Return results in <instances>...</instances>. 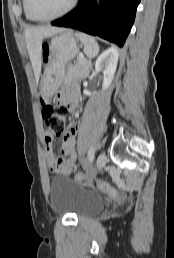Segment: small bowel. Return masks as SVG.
I'll use <instances>...</instances> for the list:
<instances>
[{"label":"small bowel","instance_id":"c3829d8e","mask_svg":"<svg viewBox=\"0 0 174 258\" xmlns=\"http://www.w3.org/2000/svg\"><path fill=\"white\" fill-rule=\"evenodd\" d=\"M77 84H70L65 93L59 97L60 101L69 109V111L77 114L78 113V94ZM78 124H74L70 127L68 133L64 137L62 143V152L68 156H56L52 147V136L49 132H45V154L47 165L53 173L72 174L77 170V153L75 149V136L78 131Z\"/></svg>","mask_w":174,"mask_h":258}]
</instances>
